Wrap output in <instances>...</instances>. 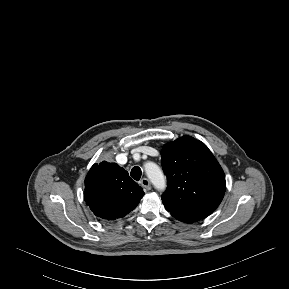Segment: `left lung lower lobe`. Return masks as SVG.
<instances>
[{"instance_id":"1","label":"left lung lower lobe","mask_w":289,"mask_h":289,"mask_svg":"<svg viewBox=\"0 0 289 289\" xmlns=\"http://www.w3.org/2000/svg\"><path fill=\"white\" fill-rule=\"evenodd\" d=\"M170 213L173 217H175L176 219H178L182 222H185V223H193V222L200 220L199 218L189 217V216H185V215H181V214H177V213H172V212H170Z\"/></svg>"}]
</instances>
